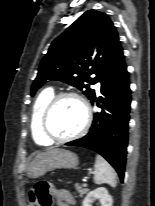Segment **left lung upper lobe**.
I'll return each instance as SVG.
<instances>
[{
    "label": "left lung upper lobe",
    "mask_w": 155,
    "mask_h": 206,
    "mask_svg": "<svg viewBox=\"0 0 155 206\" xmlns=\"http://www.w3.org/2000/svg\"><path fill=\"white\" fill-rule=\"evenodd\" d=\"M121 53L110 18L103 12L88 10L52 42L40 63L31 95L47 80H58L77 87L92 100L95 90L90 85L102 80ZM93 74L96 77H90Z\"/></svg>",
    "instance_id": "left-lung-upper-lobe-1"
}]
</instances>
